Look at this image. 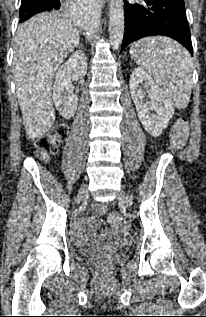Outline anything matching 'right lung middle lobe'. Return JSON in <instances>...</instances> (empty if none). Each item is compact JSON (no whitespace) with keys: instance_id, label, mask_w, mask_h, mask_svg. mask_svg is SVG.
Segmentation results:
<instances>
[{"instance_id":"1","label":"right lung middle lobe","mask_w":206,"mask_h":317,"mask_svg":"<svg viewBox=\"0 0 206 317\" xmlns=\"http://www.w3.org/2000/svg\"><path fill=\"white\" fill-rule=\"evenodd\" d=\"M39 0H22L21 7H20V22H23L33 15L37 13H42L46 11H63L65 10L68 0H61L60 2L56 3V5L51 7H42L35 2Z\"/></svg>"}]
</instances>
